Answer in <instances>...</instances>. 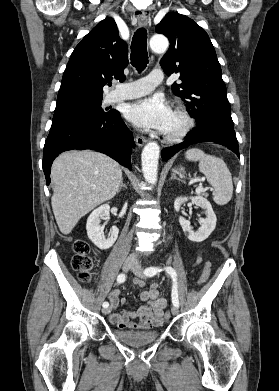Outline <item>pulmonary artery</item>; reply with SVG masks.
I'll use <instances>...</instances> for the list:
<instances>
[{
	"mask_svg": "<svg viewBox=\"0 0 279 391\" xmlns=\"http://www.w3.org/2000/svg\"><path fill=\"white\" fill-rule=\"evenodd\" d=\"M162 81V73L155 70L137 81L118 84L116 89L109 94L107 99L110 102H117L121 100L137 98L150 93Z\"/></svg>",
	"mask_w": 279,
	"mask_h": 391,
	"instance_id": "obj_1",
	"label": "pulmonary artery"
}]
</instances>
